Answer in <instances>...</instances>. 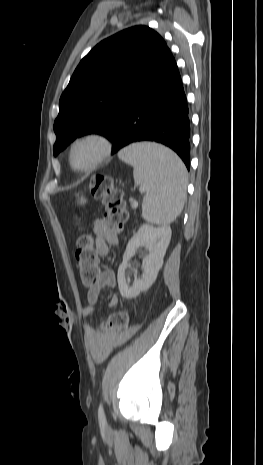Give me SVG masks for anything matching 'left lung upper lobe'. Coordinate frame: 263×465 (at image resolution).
Segmentation results:
<instances>
[{"mask_svg":"<svg viewBox=\"0 0 263 465\" xmlns=\"http://www.w3.org/2000/svg\"><path fill=\"white\" fill-rule=\"evenodd\" d=\"M166 47L157 32L142 25L97 44L81 60L61 95L54 155L88 133L112 141L138 80Z\"/></svg>","mask_w":263,"mask_h":465,"instance_id":"left-lung-upper-lobe-1","label":"left lung upper lobe"}]
</instances>
